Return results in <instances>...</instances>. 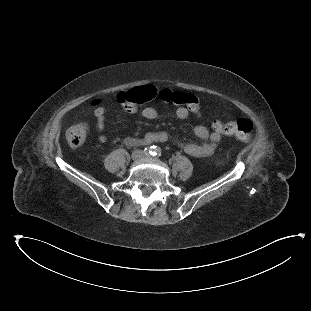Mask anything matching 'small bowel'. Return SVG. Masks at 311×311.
<instances>
[{
    "label": "small bowel",
    "instance_id": "small-bowel-1",
    "mask_svg": "<svg viewBox=\"0 0 311 311\" xmlns=\"http://www.w3.org/2000/svg\"><path fill=\"white\" fill-rule=\"evenodd\" d=\"M169 89V88H168ZM176 116L179 119H186L189 115V112L184 107H179L176 112ZM141 115L143 118L147 120H154L158 116V112L153 107H145ZM95 117L97 119V129L102 131L105 125V112L102 108H99L95 111ZM195 135L203 140L202 144H196L191 142H184L177 139H173L170 137L169 134L166 132H152L147 133L145 136L141 137V139H145L148 141L149 144L159 142V141H166L172 139L175 144H177L184 152L189 154L193 157H208L213 154L216 147L218 146L221 135L218 132H210L205 126L197 125L194 128ZM99 141L104 143L106 141V137L104 135L99 136ZM132 143L131 141H129ZM133 144V143H132Z\"/></svg>",
    "mask_w": 311,
    "mask_h": 311
}]
</instances>
